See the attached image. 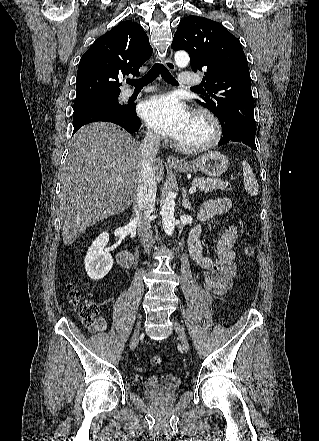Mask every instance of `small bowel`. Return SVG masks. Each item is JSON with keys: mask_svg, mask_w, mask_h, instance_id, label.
<instances>
[{"mask_svg": "<svg viewBox=\"0 0 319 441\" xmlns=\"http://www.w3.org/2000/svg\"><path fill=\"white\" fill-rule=\"evenodd\" d=\"M231 202L227 198L212 199L202 205L197 213L200 222L193 227L188 238V250L191 258L206 271L205 284L207 289L215 296H222L232 287L233 279L237 273L234 260L236 252L234 244L237 240L238 229L230 227L218 240L216 257L212 258L203 254L201 222L214 215L223 214L230 209ZM107 329V321L103 317L95 319L89 330L92 333H101Z\"/></svg>", "mask_w": 319, "mask_h": 441, "instance_id": "1", "label": "small bowel"}]
</instances>
